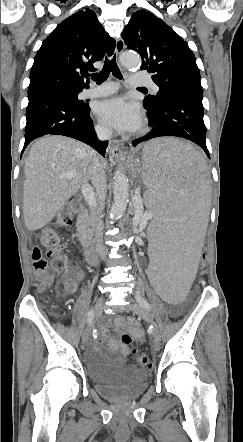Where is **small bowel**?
<instances>
[{
  "label": "small bowel",
  "instance_id": "1",
  "mask_svg": "<svg viewBox=\"0 0 243 442\" xmlns=\"http://www.w3.org/2000/svg\"><path fill=\"white\" fill-rule=\"evenodd\" d=\"M84 279V273L79 264H74L69 275L62 281V291L65 294H73L76 292L78 284ZM114 327L116 330H126L136 340H141L144 336L143 330L139 323L132 317H117L114 319ZM98 342L105 344L110 350H119L123 355L128 354V347L121 344L117 339L109 334V321L103 320L100 323Z\"/></svg>",
  "mask_w": 243,
  "mask_h": 442
}]
</instances>
